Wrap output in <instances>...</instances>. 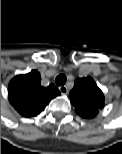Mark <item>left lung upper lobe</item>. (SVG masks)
Masks as SVG:
<instances>
[{
	"label": "left lung upper lobe",
	"instance_id": "5c2ea615",
	"mask_svg": "<svg viewBox=\"0 0 122 154\" xmlns=\"http://www.w3.org/2000/svg\"><path fill=\"white\" fill-rule=\"evenodd\" d=\"M69 98L76 107L75 112L83 118L95 117L104 107V95L91 77L75 80Z\"/></svg>",
	"mask_w": 122,
	"mask_h": 154
}]
</instances>
